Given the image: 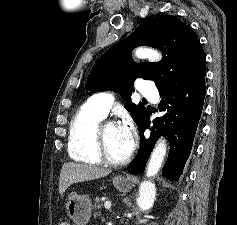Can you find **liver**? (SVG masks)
<instances>
[{"mask_svg": "<svg viewBox=\"0 0 237 225\" xmlns=\"http://www.w3.org/2000/svg\"><path fill=\"white\" fill-rule=\"evenodd\" d=\"M111 173L110 169L78 163H65L62 166L59 179V193L62 195L72 184L99 179Z\"/></svg>", "mask_w": 237, "mask_h": 225, "instance_id": "obj_1", "label": "liver"}]
</instances>
